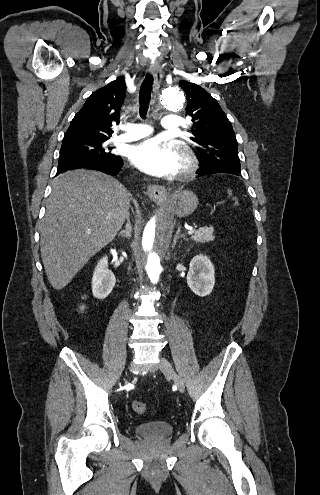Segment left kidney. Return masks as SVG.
Instances as JSON below:
<instances>
[{"mask_svg": "<svg viewBox=\"0 0 320 495\" xmlns=\"http://www.w3.org/2000/svg\"><path fill=\"white\" fill-rule=\"evenodd\" d=\"M187 284L196 295L201 297L212 292L215 284V270L207 256L200 254L191 260Z\"/></svg>", "mask_w": 320, "mask_h": 495, "instance_id": "obj_1", "label": "left kidney"}]
</instances>
